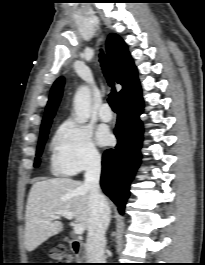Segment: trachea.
<instances>
[{
  "mask_svg": "<svg viewBox=\"0 0 205 265\" xmlns=\"http://www.w3.org/2000/svg\"><path fill=\"white\" fill-rule=\"evenodd\" d=\"M100 63L103 69L104 76L106 77L109 86L112 87V91L109 95L108 102L112 110L117 111V93L114 88V80L108 62L103 53L100 54Z\"/></svg>",
  "mask_w": 205,
  "mask_h": 265,
  "instance_id": "3493384b",
  "label": "trachea"
}]
</instances>
